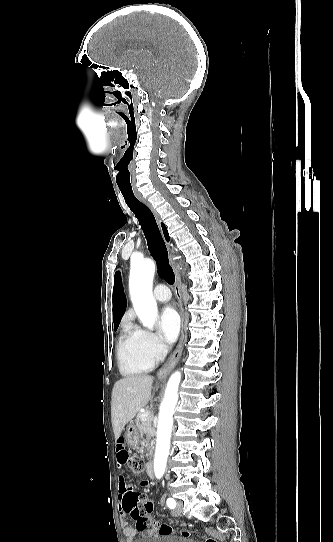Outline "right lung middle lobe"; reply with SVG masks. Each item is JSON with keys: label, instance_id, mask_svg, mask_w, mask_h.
<instances>
[{"label": "right lung middle lobe", "instance_id": "right-lung-middle-lobe-1", "mask_svg": "<svg viewBox=\"0 0 333 542\" xmlns=\"http://www.w3.org/2000/svg\"><path fill=\"white\" fill-rule=\"evenodd\" d=\"M118 326H114V330H117Z\"/></svg>", "mask_w": 333, "mask_h": 542}]
</instances>
